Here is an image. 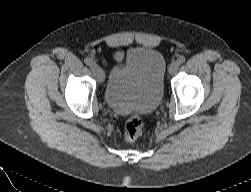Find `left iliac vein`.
I'll list each match as a JSON object with an SVG mask.
<instances>
[{
    "label": "left iliac vein",
    "mask_w": 251,
    "mask_h": 192,
    "mask_svg": "<svg viewBox=\"0 0 251 192\" xmlns=\"http://www.w3.org/2000/svg\"><path fill=\"white\" fill-rule=\"evenodd\" d=\"M178 67H179L178 62H176V61L172 62L169 66V69H168L169 74H171V75L175 74L176 71L178 70Z\"/></svg>",
    "instance_id": "4c4485c4"
}]
</instances>
